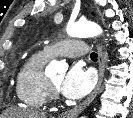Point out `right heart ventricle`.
I'll use <instances>...</instances> for the list:
<instances>
[{"label":"right heart ventricle","instance_id":"1","mask_svg":"<svg viewBox=\"0 0 133 118\" xmlns=\"http://www.w3.org/2000/svg\"><path fill=\"white\" fill-rule=\"evenodd\" d=\"M48 58L44 52H36L26 60L18 73L16 96L28 108H41L49 99L48 77L43 71Z\"/></svg>","mask_w":133,"mask_h":118}]
</instances>
